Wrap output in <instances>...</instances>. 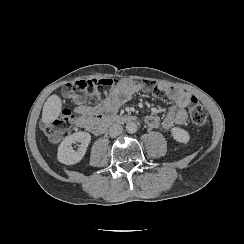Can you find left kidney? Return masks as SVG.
<instances>
[{"label": "left kidney", "instance_id": "left-kidney-1", "mask_svg": "<svg viewBox=\"0 0 244 244\" xmlns=\"http://www.w3.org/2000/svg\"><path fill=\"white\" fill-rule=\"evenodd\" d=\"M169 131L171 136L177 143L185 145L190 141V134L184 128H181L179 126H172Z\"/></svg>", "mask_w": 244, "mask_h": 244}]
</instances>
